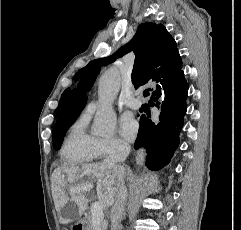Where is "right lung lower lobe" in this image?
<instances>
[{"label":"right lung lower lobe","mask_w":241,"mask_h":230,"mask_svg":"<svg viewBox=\"0 0 241 230\" xmlns=\"http://www.w3.org/2000/svg\"><path fill=\"white\" fill-rule=\"evenodd\" d=\"M181 68L166 76L153 89L152 106L160 110L159 116L151 118L148 114L140 117L135 149L141 146L146 148V166L150 170L157 171L167 165L179 145L188 93V84Z\"/></svg>","instance_id":"98d812e1"}]
</instances>
